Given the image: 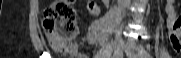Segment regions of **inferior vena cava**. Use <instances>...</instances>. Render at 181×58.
I'll return each instance as SVG.
<instances>
[{"label": "inferior vena cava", "mask_w": 181, "mask_h": 58, "mask_svg": "<svg viewBox=\"0 0 181 58\" xmlns=\"http://www.w3.org/2000/svg\"><path fill=\"white\" fill-rule=\"evenodd\" d=\"M119 7L123 10L130 4V0H118Z\"/></svg>", "instance_id": "1"}]
</instances>
